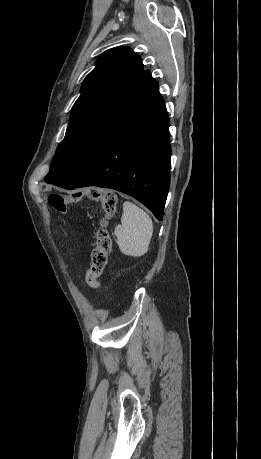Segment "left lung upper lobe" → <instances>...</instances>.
<instances>
[{"instance_id":"left-lung-upper-lobe-1","label":"left lung upper lobe","mask_w":261,"mask_h":459,"mask_svg":"<svg viewBox=\"0 0 261 459\" xmlns=\"http://www.w3.org/2000/svg\"><path fill=\"white\" fill-rule=\"evenodd\" d=\"M95 65L72 108L65 138L44 178L47 183L59 185L88 163L158 87L128 47L104 52Z\"/></svg>"}]
</instances>
